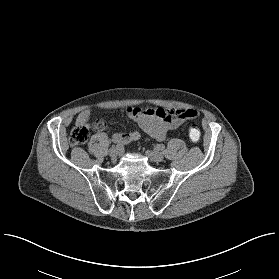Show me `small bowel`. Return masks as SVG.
Listing matches in <instances>:
<instances>
[{
    "mask_svg": "<svg viewBox=\"0 0 279 279\" xmlns=\"http://www.w3.org/2000/svg\"><path fill=\"white\" fill-rule=\"evenodd\" d=\"M90 110H82L76 117V125H88ZM126 113L133 118L140 128L149 136L163 140L170 131L177 130L187 120L197 117V112L190 109L158 108L142 110L140 108H126ZM93 128L97 131L105 129V123L97 120L93 123ZM138 131L126 133H115L112 135L113 142L126 145L140 139Z\"/></svg>",
    "mask_w": 279,
    "mask_h": 279,
    "instance_id": "1",
    "label": "small bowel"
}]
</instances>
